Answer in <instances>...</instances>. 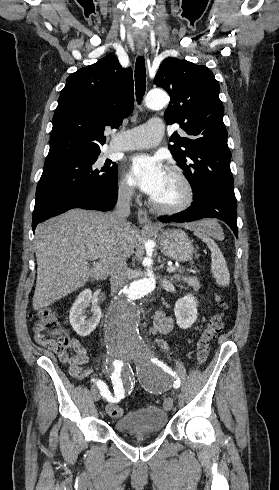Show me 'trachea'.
<instances>
[{
    "mask_svg": "<svg viewBox=\"0 0 279 490\" xmlns=\"http://www.w3.org/2000/svg\"><path fill=\"white\" fill-rule=\"evenodd\" d=\"M135 88L137 101L140 103L146 90V68L145 61L139 56L135 66Z\"/></svg>",
    "mask_w": 279,
    "mask_h": 490,
    "instance_id": "3493384b",
    "label": "trachea"
}]
</instances>
